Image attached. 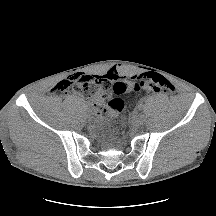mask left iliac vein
I'll return each instance as SVG.
<instances>
[{"label": "left iliac vein", "instance_id": "obj_1", "mask_svg": "<svg viewBox=\"0 0 216 216\" xmlns=\"http://www.w3.org/2000/svg\"><path fill=\"white\" fill-rule=\"evenodd\" d=\"M143 122H144V115L141 113L137 114L134 118V124L136 126H140L143 124Z\"/></svg>", "mask_w": 216, "mask_h": 216}]
</instances>
